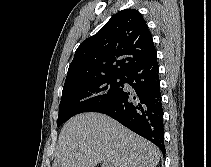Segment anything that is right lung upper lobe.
<instances>
[{
    "instance_id": "right-lung-upper-lobe-1",
    "label": "right lung upper lobe",
    "mask_w": 211,
    "mask_h": 167,
    "mask_svg": "<svg viewBox=\"0 0 211 167\" xmlns=\"http://www.w3.org/2000/svg\"><path fill=\"white\" fill-rule=\"evenodd\" d=\"M155 56L152 35L142 15L134 9L121 10L77 48L64 87L98 77L124 76Z\"/></svg>"
}]
</instances>
